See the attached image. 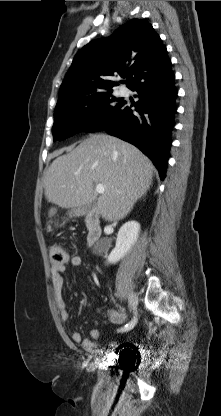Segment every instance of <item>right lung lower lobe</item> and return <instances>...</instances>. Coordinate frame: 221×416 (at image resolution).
<instances>
[{"label":"right lung lower lobe","instance_id":"obj_1","mask_svg":"<svg viewBox=\"0 0 221 416\" xmlns=\"http://www.w3.org/2000/svg\"><path fill=\"white\" fill-rule=\"evenodd\" d=\"M172 70L163 76H150L130 89L137 91L139 100L132 105L125 100L111 120L99 126L97 131L119 137L138 147L154 163L160 178L166 176V168L171 147V130L176 113Z\"/></svg>","mask_w":221,"mask_h":416}]
</instances>
